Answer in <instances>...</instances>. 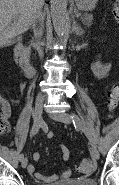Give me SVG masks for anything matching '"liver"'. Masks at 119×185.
I'll return each instance as SVG.
<instances>
[{
  "mask_svg": "<svg viewBox=\"0 0 119 185\" xmlns=\"http://www.w3.org/2000/svg\"><path fill=\"white\" fill-rule=\"evenodd\" d=\"M43 4V0H0V47L26 32ZM13 17L17 20L12 23Z\"/></svg>",
  "mask_w": 119,
  "mask_h": 185,
  "instance_id": "1",
  "label": "liver"
}]
</instances>
